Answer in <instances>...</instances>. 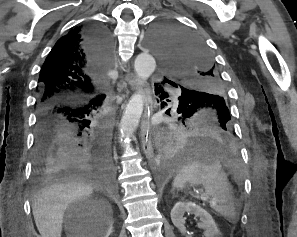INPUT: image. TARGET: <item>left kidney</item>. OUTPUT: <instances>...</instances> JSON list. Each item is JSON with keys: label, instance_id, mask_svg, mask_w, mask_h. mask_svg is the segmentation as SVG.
I'll return each mask as SVG.
<instances>
[{"label": "left kidney", "instance_id": "obj_1", "mask_svg": "<svg viewBox=\"0 0 297 237\" xmlns=\"http://www.w3.org/2000/svg\"><path fill=\"white\" fill-rule=\"evenodd\" d=\"M194 214L196 217L200 218V222L198 223V227L204 229L205 237H219L220 231L212 218V216L201 206L193 203V202H177L173 209L171 210V220L172 223L181 234L186 237H192L191 234H187L185 227V213Z\"/></svg>", "mask_w": 297, "mask_h": 237}]
</instances>
